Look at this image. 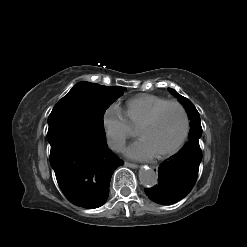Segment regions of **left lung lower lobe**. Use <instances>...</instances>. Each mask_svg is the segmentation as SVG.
Returning <instances> with one entry per match:
<instances>
[{"label": "left lung lower lobe", "instance_id": "1", "mask_svg": "<svg viewBox=\"0 0 247 247\" xmlns=\"http://www.w3.org/2000/svg\"><path fill=\"white\" fill-rule=\"evenodd\" d=\"M201 160L199 141L190 140L175 156L162 162L158 169V183L145 189L146 195L163 205L183 199L194 186Z\"/></svg>", "mask_w": 247, "mask_h": 247}]
</instances>
